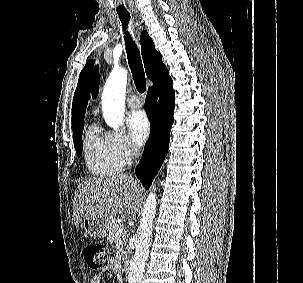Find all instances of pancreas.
I'll list each match as a JSON object with an SVG mask.
<instances>
[{
	"instance_id": "1",
	"label": "pancreas",
	"mask_w": 303,
	"mask_h": 283,
	"mask_svg": "<svg viewBox=\"0 0 303 283\" xmlns=\"http://www.w3.org/2000/svg\"><path fill=\"white\" fill-rule=\"evenodd\" d=\"M126 237H127V231L124 228V225L118 222H113L111 231L109 232V234L107 235V240L111 243H126ZM130 250L127 247L126 251H125V256L127 258V256L129 255Z\"/></svg>"
}]
</instances>
